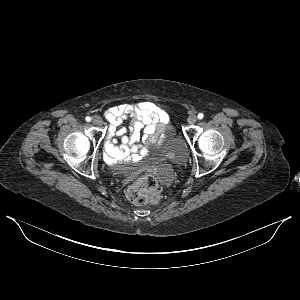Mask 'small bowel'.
Instances as JSON below:
<instances>
[{"label": "small bowel", "instance_id": "small-bowel-1", "mask_svg": "<svg viewBox=\"0 0 300 300\" xmlns=\"http://www.w3.org/2000/svg\"><path fill=\"white\" fill-rule=\"evenodd\" d=\"M105 117L109 122L105 157L110 163L139 159L162 136L169 120L168 114L150 101L113 106L105 111ZM127 119L128 127L122 126Z\"/></svg>", "mask_w": 300, "mask_h": 300}]
</instances>
